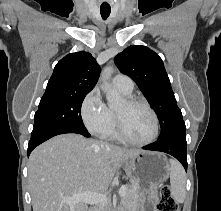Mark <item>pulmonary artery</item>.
<instances>
[{"instance_id": "obj_1", "label": "pulmonary artery", "mask_w": 221, "mask_h": 211, "mask_svg": "<svg viewBox=\"0 0 221 211\" xmlns=\"http://www.w3.org/2000/svg\"><path fill=\"white\" fill-rule=\"evenodd\" d=\"M113 85L122 92L132 93L134 83L132 79L124 74H117L113 78Z\"/></svg>"}]
</instances>
